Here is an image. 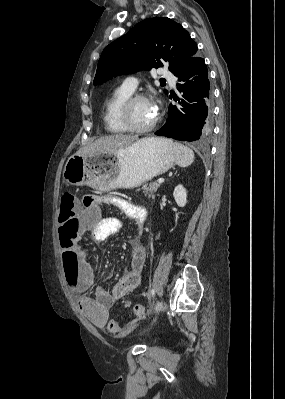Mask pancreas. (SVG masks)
Segmentation results:
<instances>
[{"instance_id": "pancreas-1", "label": "pancreas", "mask_w": 285, "mask_h": 399, "mask_svg": "<svg viewBox=\"0 0 285 399\" xmlns=\"http://www.w3.org/2000/svg\"><path fill=\"white\" fill-rule=\"evenodd\" d=\"M159 187H160L159 183L152 182V183L143 185L142 190H143V193H145V195L148 196L149 198L150 197L155 198L154 193L158 190ZM139 190L140 189H138V191Z\"/></svg>"}]
</instances>
